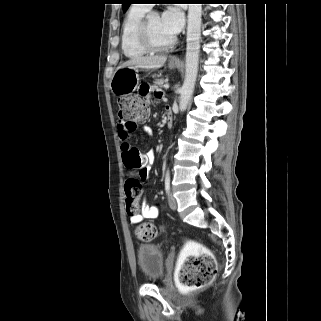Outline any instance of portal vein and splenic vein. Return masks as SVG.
Instances as JSON below:
<instances>
[{"label": "portal vein and splenic vein", "mask_w": 321, "mask_h": 321, "mask_svg": "<svg viewBox=\"0 0 321 321\" xmlns=\"http://www.w3.org/2000/svg\"><path fill=\"white\" fill-rule=\"evenodd\" d=\"M164 88H165V89H168V88H169V84H165V85H164Z\"/></svg>", "instance_id": "18ae733b"}]
</instances>
